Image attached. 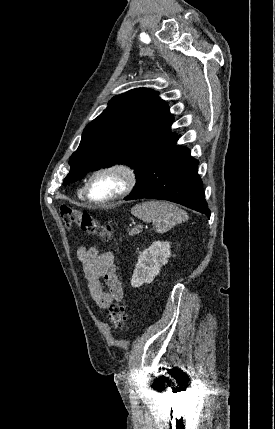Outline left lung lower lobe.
Returning a JSON list of instances; mask_svg holds the SVG:
<instances>
[{
  "label": "left lung lower lobe",
  "mask_w": 275,
  "mask_h": 429,
  "mask_svg": "<svg viewBox=\"0 0 275 429\" xmlns=\"http://www.w3.org/2000/svg\"><path fill=\"white\" fill-rule=\"evenodd\" d=\"M179 136L166 144L149 162L125 200L160 199L175 202L210 217L197 172L199 162L187 147L176 146Z\"/></svg>",
  "instance_id": "left-lung-lower-lobe-1"
}]
</instances>
